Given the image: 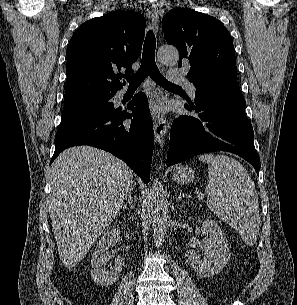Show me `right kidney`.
<instances>
[{
    "label": "right kidney",
    "instance_id": "obj_1",
    "mask_svg": "<svg viewBox=\"0 0 297 305\" xmlns=\"http://www.w3.org/2000/svg\"><path fill=\"white\" fill-rule=\"evenodd\" d=\"M116 238V228L110 227L102 236L92 255L90 274L94 283L99 286H109L114 284L122 272L123 260L121 257L115 259V263L110 270L105 266L111 259L108 249L114 246Z\"/></svg>",
    "mask_w": 297,
    "mask_h": 305
}]
</instances>
